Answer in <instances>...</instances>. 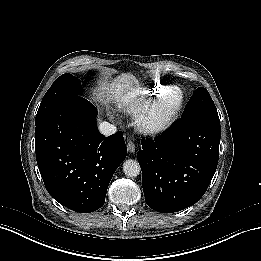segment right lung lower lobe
<instances>
[{
  "instance_id": "obj_1",
  "label": "right lung lower lobe",
  "mask_w": 261,
  "mask_h": 261,
  "mask_svg": "<svg viewBox=\"0 0 261 261\" xmlns=\"http://www.w3.org/2000/svg\"><path fill=\"white\" fill-rule=\"evenodd\" d=\"M96 108L83 97L66 98L35 120V152L49 194L82 213L101 208L109 182L127 155L122 132H98Z\"/></svg>"
}]
</instances>
